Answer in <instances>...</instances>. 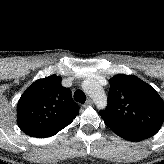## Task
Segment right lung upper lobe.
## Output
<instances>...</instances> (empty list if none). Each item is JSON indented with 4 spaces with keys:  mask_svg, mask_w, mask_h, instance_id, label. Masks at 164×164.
Listing matches in <instances>:
<instances>
[{
    "mask_svg": "<svg viewBox=\"0 0 164 164\" xmlns=\"http://www.w3.org/2000/svg\"><path fill=\"white\" fill-rule=\"evenodd\" d=\"M61 81V77L51 75L35 81L22 94L17 104V123L25 134L36 137L78 115L79 106Z\"/></svg>",
    "mask_w": 164,
    "mask_h": 164,
    "instance_id": "1",
    "label": "right lung upper lobe"
}]
</instances>
